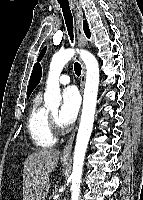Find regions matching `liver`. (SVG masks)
Instances as JSON below:
<instances>
[{
	"label": "liver",
	"instance_id": "1",
	"mask_svg": "<svg viewBox=\"0 0 143 200\" xmlns=\"http://www.w3.org/2000/svg\"><path fill=\"white\" fill-rule=\"evenodd\" d=\"M60 151L39 149L31 153L24 162L23 200H44L50 183L49 175L58 164Z\"/></svg>",
	"mask_w": 143,
	"mask_h": 200
}]
</instances>
